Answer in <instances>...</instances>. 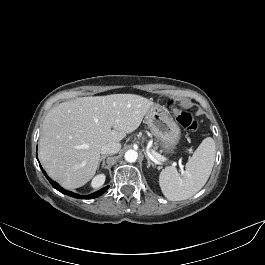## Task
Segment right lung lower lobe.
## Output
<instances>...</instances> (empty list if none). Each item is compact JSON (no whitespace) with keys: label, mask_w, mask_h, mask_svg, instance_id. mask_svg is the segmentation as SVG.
<instances>
[{"label":"right lung lower lobe","mask_w":265,"mask_h":265,"mask_svg":"<svg viewBox=\"0 0 265 265\" xmlns=\"http://www.w3.org/2000/svg\"><path fill=\"white\" fill-rule=\"evenodd\" d=\"M41 169H42V172L44 173V175L46 176V178L49 180V182L51 183V185L55 189H57L58 191H60L63 194H66V195L71 196V197H74V198H79V199H93V198H96V197L102 195L108 189V186H107V187H104V188L100 189L99 191H97L95 193L90 194V195H79V194H76V193H73V192L64 190L58 183L54 182L52 179H50L48 177V175L46 174V172L43 170L42 167H41Z\"/></svg>","instance_id":"98d812e1"}]
</instances>
